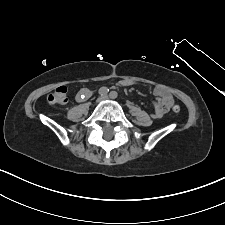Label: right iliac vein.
Returning a JSON list of instances; mask_svg holds the SVG:
<instances>
[{
  "mask_svg": "<svg viewBox=\"0 0 225 225\" xmlns=\"http://www.w3.org/2000/svg\"><path fill=\"white\" fill-rule=\"evenodd\" d=\"M100 101H102V97H99V98L97 99V102H100Z\"/></svg>",
  "mask_w": 225,
  "mask_h": 225,
  "instance_id": "obj_1",
  "label": "right iliac vein"
}]
</instances>
